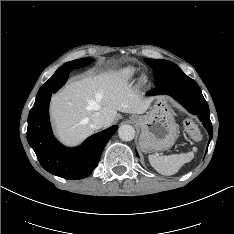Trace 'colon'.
<instances>
[{"label":"colon","mask_w":234,"mask_h":234,"mask_svg":"<svg viewBox=\"0 0 234 234\" xmlns=\"http://www.w3.org/2000/svg\"><path fill=\"white\" fill-rule=\"evenodd\" d=\"M184 128L193 140L200 141L202 139L200 129L191 119L184 120Z\"/></svg>","instance_id":"colon-1"}]
</instances>
